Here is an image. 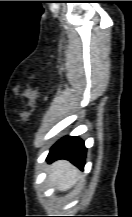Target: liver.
Instances as JSON below:
<instances>
[{
    "instance_id": "6515ba94",
    "label": "liver",
    "mask_w": 132,
    "mask_h": 217,
    "mask_svg": "<svg viewBox=\"0 0 132 217\" xmlns=\"http://www.w3.org/2000/svg\"><path fill=\"white\" fill-rule=\"evenodd\" d=\"M80 177L79 170L67 160L54 162L48 170V180L59 191L69 190Z\"/></svg>"
}]
</instances>
